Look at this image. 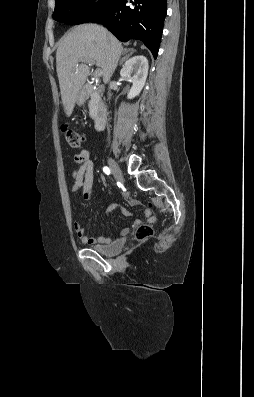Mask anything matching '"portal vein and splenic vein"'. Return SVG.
<instances>
[{
  "label": "portal vein and splenic vein",
  "mask_w": 254,
  "mask_h": 397,
  "mask_svg": "<svg viewBox=\"0 0 254 397\" xmlns=\"http://www.w3.org/2000/svg\"><path fill=\"white\" fill-rule=\"evenodd\" d=\"M84 62H85L86 64L90 65V66H91V65H94V61H93V60H90V59L85 60ZM102 74H103V72H102L101 69H96L95 72H94V76H95L96 78L102 76Z\"/></svg>",
  "instance_id": "18ae733b"
}]
</instances>
